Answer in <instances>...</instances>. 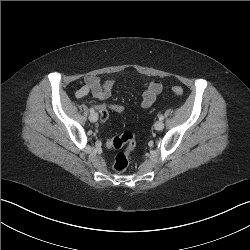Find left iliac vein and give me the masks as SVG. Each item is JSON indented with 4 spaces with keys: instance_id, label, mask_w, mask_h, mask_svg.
Segmentation results:
<instances>
[{
    "instance_id": "4c4485c4",
    "label": "left iliac vein",
    "mask_w": 250,
    "mask_h": 250,
    "mask_svg": "<svg viewBox=\"0 0 250 250\" xmlns=\"http://www.w3.org/2000/svg\"><path fill=\"white\" fill-rule=\"evenodd\" d=\"M154 128L157 130V131H160L164 128V123L162 121H157L155 124H154Z\"/></svg>"
}]
</instances>
